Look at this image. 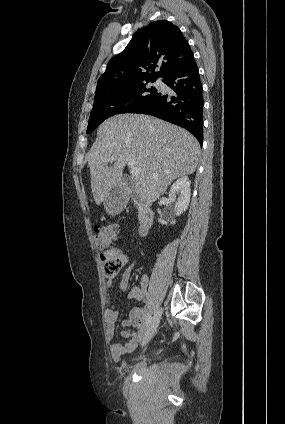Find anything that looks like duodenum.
Here are the masks:
<instances>
[{
	"instance_id": "410a0bca",
	"label": "duodenum",
	"mask_w": 285,
	"mask_h": 424,
	"mask_svg": "<svg viewBox=\"0 0 285 424\" xmlns=\"http://www.w3.org/2000/svg\"><path fill=\"white\" fill-rule=\"evenodd\" d=\"M120 188L126 194L133 193L136 188L135 179L131 176L121 177ZM137 208L139 210L138 232L140 235H146L152 226L154 220V212L142 199L137 200Z\"/></svg>"
}]
</instances>
